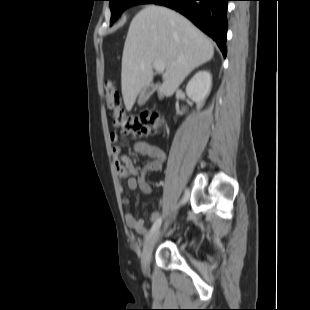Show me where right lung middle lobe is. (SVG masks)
Returning a JSON list of instances; mask_svg holds the SVG:
<instances>
[{"label": "right lung middle lobe", "instance_id": "dd1d6c3e", "mask_svg": "<svg viewBox=\"0 0 310 310\" xmlns=\"http://www.w3.org/2000/svg\"><path fill=\"white\" fill-rule=\"evenodd\" d=\"M111 9V20L110 25H112L122 12L130 6L138 4L151 3L153 0H109Z\"/></svg>", "mask_w": 310, "mask_h": 310}]
</instances>
